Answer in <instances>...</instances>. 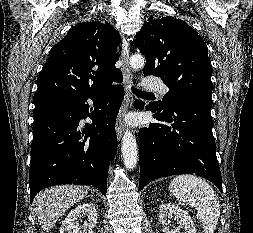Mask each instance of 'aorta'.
I'll list each match as a JSON object with an SVG mask.
<instances>
[{"instance_id":"1","label":"aorta","mask_w":253,"mask_h":233,"mask_svg":"<svg viewBox=\"0 0 253 233\" xmlns=\"http://www.w3.org/2000/svg\"><path fill=\"white\" fill-rule=\"evenodd\" d=\"M144 65L145 58L141 54L130 57V66L133 70L141 69ZM121 151L125 167L130 170L135 168L138 162V149L136 139L129 130H126L122 138Z\"/></svg>"}]
</instances>
